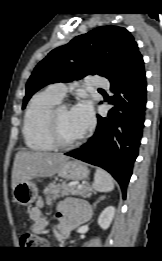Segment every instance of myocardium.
I'll return each instance as SVG.
<instances>
[{
    "label": "myocardium",
    "mask_w": 162,
    "mask_h": 261,
    "mask_svg": "<svg viewBox=\"0 0 162 261\" xmlns=\"http://www.w3.org/2000/svg\"><path fill=\"white\" fill-rule=\"evenodd\" d=\"M62 109H67V106L66 105H57L49 113L48 118H47L48 135H49V138H50L52 144L55 147H58L61 149H71L81 143V141L84 138V135L82 134L79 138H77L76 140L71 141V142L64 141L60 137L59 130H58V124H57V117H58L59 112Z\"/></svg>",
    "instance_id": "obj_1"
}]
</instances>
